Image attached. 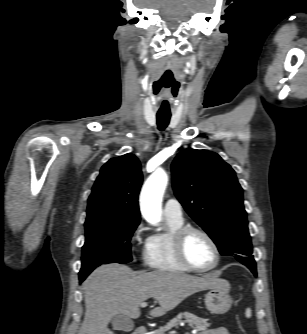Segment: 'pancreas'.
<instances>
[{"mask_svg":"<svg viewBox=\"0 0 307 334\" xmlns=\"http://www.w3.org/2000/svg\"><path fill=\"white\" fill-rule=\"evenodd\" d=\"M181 322L188 323L190 327H192L193 329H196L197 331H205L210 326V324L208 323V319L200 318L189 312H184V313H180L175 318L170 320L166 325L155 330L153 334H165L167 331H169L173 327H178V325Z\"/></svg>","mask_w":307,"mask_h":334,"instance_id":"obj_1","label":"pancreas"}]
</instances>
